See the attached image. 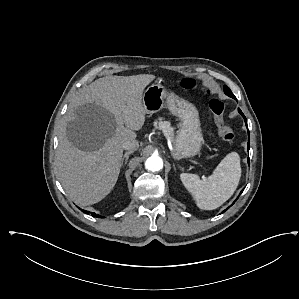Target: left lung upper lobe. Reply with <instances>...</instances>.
<instances>
[{"label": "left lung upper lobe", "mask_w": 299, "mask_h": 299, "mask_svg": "<svg viewBox=\"0 0 299 299\" xmlns=\"http://www.w3.org/2000/svg\"><path fill=\"white\" fill-rule=\"evenodd\" d=\"M224 92H225L226 95L233 98V96H234L233 93L231 92V90L226 85L224 86Z\"/></svg>", "instance_id": "obj_1"}]
</instances>
